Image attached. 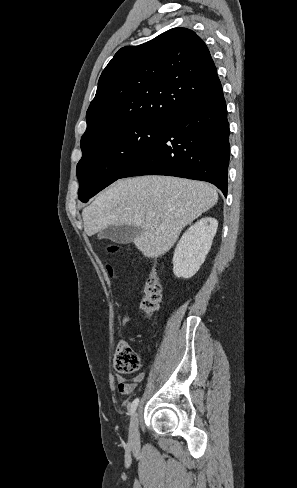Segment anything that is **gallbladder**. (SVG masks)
Listing matches in <instances>:
<instances>
[{
	"label": "gallbladder",
	"instance_id": "bac80fb5",
	"mask_svg": "<svg viewBox=\"0 0 297 488\" xmlns=\"http://www.w3.org/2000/svg\"><path fill=\"white\" fill-rule=\"evenodd\" d=\"M142 230V227L135 225H113L101 230L99 237L100 239H109L117 244H127L139 236Z\"/></svg>",
	"mask_w": 297,
	"mask_h": 488
}]
</instances>
